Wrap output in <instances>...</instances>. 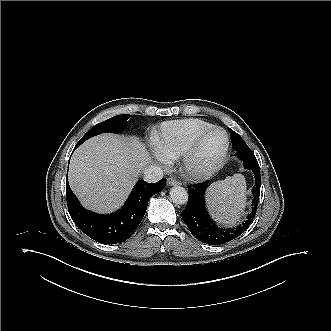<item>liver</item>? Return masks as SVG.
Segmentation results:
<instances>
[{"mask_svg":"<svg viewBox=\"0 0 331 331\" xmlns=\"http://www.w3.org/2000/svg\"><path fill=\"white\" fill-rule=\"evenodd\" d=\"M150 162L151 155L138 138L101 134L74 152L69 184L84 207L111 213L122 206Z\"/></svg>","mask_w":331,"mask_h":331,"instance_id":"obj_1","label":"liver"}]
</instances>
